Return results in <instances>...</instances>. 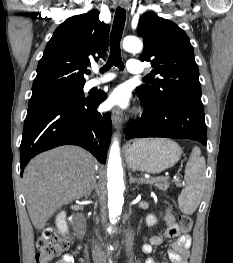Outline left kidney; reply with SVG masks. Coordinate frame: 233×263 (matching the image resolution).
<instances>
[{
  "label": "left kidney",
  "mask_w": 233,
  "mask_h": 263,
  "mask_svg": "<svg viewBox=\"0 0 233 263\" xmlns=\"http://www.w3.org/2000/svg\"><path fill=\"white\" fill-rule=\"evenodd\" d=\"M156 223H157V219H156V217L154 215H148L146 217V224L148 226H153Z\"/></svg>",
  "instance_id": "obj_1"
}]
</instances>
